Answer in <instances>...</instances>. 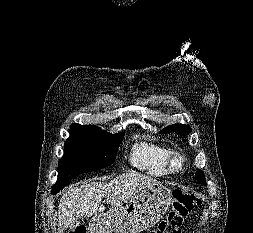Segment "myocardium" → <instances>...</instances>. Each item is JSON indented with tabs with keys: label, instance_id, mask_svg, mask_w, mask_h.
<instances>
[{
	"label": "myocardium",
	"instance_id": "obj_1",
	"mask_svg": "<svg viewBox=\"0 0 253 233\" xmlns=\"http://www.w3.org/2000/svg\"><path fill=\"white\" fill-rule=\"evenodd\" d=\"M186 163L184 154L180 152L170 154L167 160V170L169 173H176L181 171Z\"/></svg>",
	"mask_w": 253,
	"mask_h": 233
}]
</instances>
